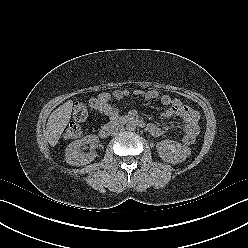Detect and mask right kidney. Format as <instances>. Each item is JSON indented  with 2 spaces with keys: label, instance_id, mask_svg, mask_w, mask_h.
Wrapping results in <instances>:
<instances>
[{
  "label": "right kidney",
  "instance_id": "right-kidney-1",
  "mask_svg": "<svg viewBox=\"0 0 248 248\" xmlns=\"http://www.w3.org/2000/svg\"><path fill=\"white\" fill-rule=\"evenodd\" d=\"M98 142L99 139L96 135H87L82 139L71 142L65 150V161L74 166H82L92 162L97 156L94 149ZM87 144L90 145V151L84 153L83 149Z\"/></svg>",
  "mask_w": 248,
  "mask_h": 248
}]
</instances>
